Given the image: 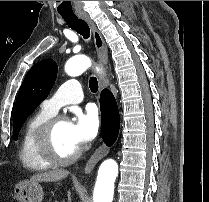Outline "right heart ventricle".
Returning <instances> with one entry per match:
<instances>
[{"mask_svg":"<svg viewBox=\"0 0 209 202\" xmlns=\"http://www.w3.org/2000/svg\"><path fill=\"white\" fill-rule=\"evenodd\" d=\"M52 116L43 109L30 117L22 130L19 159L28 169L40 171L50 167V164L37 152L36 139L41 126Z\"/></svg>","mask_w":209,"mask_h":202,"instance_id":"right-heart-ventricle-1","label":"right heart ventricle"}]
</instances>
